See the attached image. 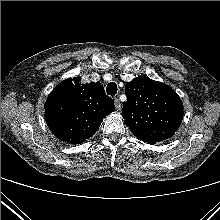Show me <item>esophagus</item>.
Instances as JSON below:
<instances>
[{"label":"esophagus","instance_id":"obj_1","mask_svg":"<svg viewBox=\"0 0 220 220\" xmlns=\"http://www.w3.org/2000/svg\"><path fill=\"white\" fill-rule=\"evenodd\" d=\"M114 102H115V107H116L117 111H120L121 110L120 100L118 98H114Z\"/></svg>","mask_w":220,"mask_h":220}]
</instances>
